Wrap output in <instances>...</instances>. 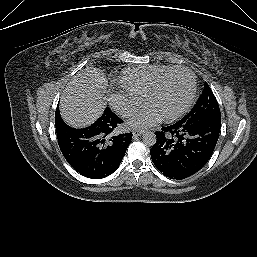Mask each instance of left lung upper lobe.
Returning <instances> with one entry per match:
<instances>
[{
    "label": "left lung upper lobe",
    "mask_w": 257,
    "mask_h": 257,
    "mask_svg": "<svg viewBox=\"0 0 257 257\" xmlns=\"http://www.w3.org/2000/svg\"><path fill=\"white\" fill-rule=\"evenodd\" d=\"M208 118L221 119V113L218 102L212 90L210 89L209 85L205 82L203 92L199 97L198 101L196 102L195 106L182 119L191 122H196Z\"/></svg>",
    "instance_id": "obj_1"
}]
</instances>
